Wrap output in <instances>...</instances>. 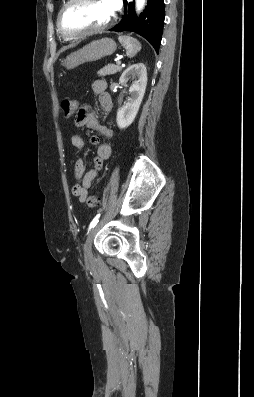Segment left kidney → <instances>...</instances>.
Instances as JSON below:
<instances>
[{
	"label": "left kidney",
	"mask_w": 254,
	"mask_h": 397,
	"mask_svg": "<svg viewBox=\"0 0 254 397\" xmlns=\"http://www.w3.org/2000/svg\"><path fill=\"white\" fill-rule=\"evenodd\" d=\"M129 76H132L135 82L129 88L130 97L117 112L116 122L120 129L131 125L138 113L147 85V70L145 65L143 63L131 65L122 73L119 82L126 85Z\"/></svg>",
	"instance_id": "5707ae66"
}]
</instances>
